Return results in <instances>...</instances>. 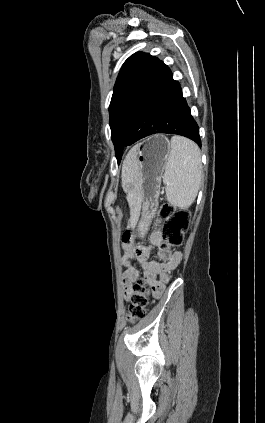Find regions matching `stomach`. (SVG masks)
Returning a JSON list of instances; mask_svg holds the SVG:
<instances>
[{
  "mask_svg": "<svg viewBox=\"0 0 265 423\" xmlns=\"http://www.w3.org/2000/svg\"><path fill=\"white\" fill-rule=\"evenodd\" d=\"M170 151V142L164 135L150 136L135 147L134 153L139 177L134 185L143 199L142 218L139 224L140 234L146 232L155 217L161 178Z\"/></svg>",
  "mask_w": 265,
  "mask_h": 423,
  "instance_id": "1",
  "label": "stomach"
}]
</instances>
